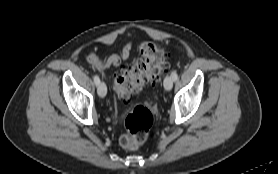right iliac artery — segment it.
<instances>
[{
    "label": "right iliac artery",
    "instance_id": "obj_1",
    "mask_svg": "<svg viewBox=\"0 0 278 174\" xmlns=\"http://www.w3.org/2000/svg\"><path fill=\"white\" fill-rule=\"evenodd\" d=\"M94 83H95L96 85H99V84H100V78H99L98 75H95V76H94Z\"/></svg>",
    "mask_w": 278,
    "mask_h": 174
}]
</instances>
